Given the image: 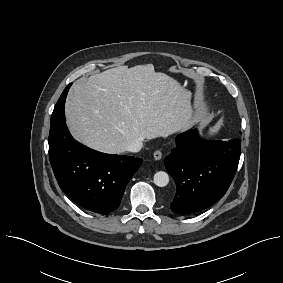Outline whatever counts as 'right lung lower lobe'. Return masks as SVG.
Segmentation results:
<instances>
[{
  "instance_id": "obj_1",
  "label": "right lung lower lobe",
  "mask_w": 283,
  "mask_h": 283,
  "mask_svg": "<svg viewBox=\"0 0 283 283\" xmlns=\"http://www.w3.org/2000/svg\"><path fill=\"white\" fill-rule=\"evenodd\" d=\"M70 86L61 94L51 116V166L69 198L92 212L108 214L119 207L128 182L143 160L101 153L72 138L65 123V99Z\"/></svg>"
}]
</instances>
